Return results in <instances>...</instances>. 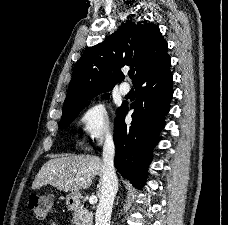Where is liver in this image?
Returning a JSON list of instances; mask_svg holds the SVG:
<instances>
[{
  "label": "liver",
  "instance_id": "1",
  "mask_svg": "<svg viewBox=\"0 0 228 225\" xmlns=\"http://www.w3.org/2000/svg\"><path fill=\"white\" fill-rule=\"evenodd\" d=\"M104 173V161L92 155H73V157H61V159H50L41 167L36 175L32 189H40L44 185H52L59 191H71L79 193L81 189H89L95 175H99V187ZM84 179V181H81Z\"/></svg>",
  "mask_w": 228,
  "mask_h": 225
}]
</instances>
